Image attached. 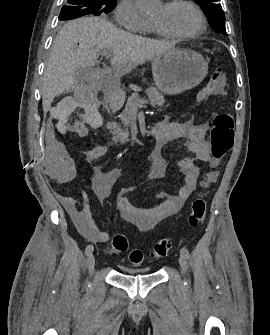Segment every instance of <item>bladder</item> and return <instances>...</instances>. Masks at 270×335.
Segmentation results:
<instances>
[{
	"mask_svg": "<svg viewBox=\"0 0 270 335\" xmlns=\"http://www.w3.org/2000/svg\"><path fill=\"white\" fill-rule=\"evenodd\" d=\"M129 274H149L152 272V269L144 270V271H126Z\"/></svg>",
	"mask_w": 270,
	"mask_h": 335,
	"instance_id": "obj_1",
	"label": "bladder"
}]
</instances>
